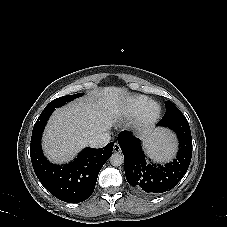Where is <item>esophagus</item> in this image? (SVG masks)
I'll use <instances>...</instances> for the list:
<instances>
[{
	"label": "esophagus",
	"instance_id": "esophagus-1",
	"mask_svg": "<svg viewBox=\"0 0 227 227\" xmlns=\"http://www.w3.org/2000/svg\"><path fill=\"white\" fill-rule=\"evenodd\" d=\"M113 151L115 153H120L121 152V148H120V145L118 143L114 144Z\"/></svg>",
	"mask_w": 227,
	"mask_h": 227
}]
</instances>
